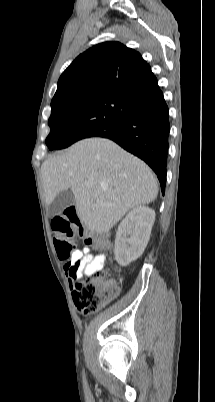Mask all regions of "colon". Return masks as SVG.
I'll use <instances>...</instances> for the list:
<instances>
[{
  "label": "colon",
  "instance_id": "5ec220e1",
  "mask_svg": "<svg viewBox=\"0 0 215 402\" xmlns=\"http://www.w3.org/2000/svg\"><path fill=\"white\" fill-rule=\"evenodd\" d=\"M51 228L57 255L61 259L68 260V265L71 266L72 272L79 267L81 262L88 259L87 257H82L77 259L74 263H71L74 248L71 240L73 236L79 235L85 239L87 244H93L102 249L110 247V241L106 236L91 235L86 232L75 209L72 208H68L53 216L51 219ZM115 295L116 288L107 279V273L101 268L96 270L89 280L76 282L73 292L74 301L84 314L97 312Z\"/></svg>",
  "mask_w": 215,
  "mask_h": 402
}]
</instances>
